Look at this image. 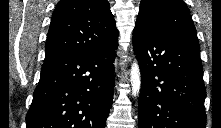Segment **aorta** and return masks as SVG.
<instances>
[{
	"mask_svg": "<svg viewBox=\"0 0 221 128\" xmlns=\"http://www.w3.org/2000/svg\"><path fill=\"white\" fill-rule=\"evenodd\" d=\"M130 81L132 86V95L136 96L139 94L141 88V74L136 60L131 66Z\"/></svg>",
	"mask_w": 221,
	"mask_h": 128,
	"instance_id": "obj_1",
	"label": "aorta"
}]
</instances>
